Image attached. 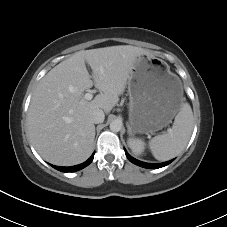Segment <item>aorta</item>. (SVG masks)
<instances>
[{
	"label": "aorta",
	"instance_id": "obj_1",
	"mask_svg": "<svg viewBox=\"0 0 227 227\" xmlns=\"http://www.w3.org/2000/svg\"><path fill=\"white\" fill-rule=\"evenodd\" d=\"M122 128V122L119 120H114L110 123V130L112 132H119Z\"/></svg>",
	"mask_w": 227,
	"mask_h": 227
}]
</instances>
